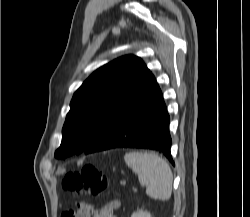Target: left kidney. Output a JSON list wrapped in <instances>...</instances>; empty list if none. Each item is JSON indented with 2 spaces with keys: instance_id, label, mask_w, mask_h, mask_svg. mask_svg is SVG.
<instances>
[{
  "instance_id": "left-kidney-1",
  "label": "left kidney",
  "mask_w": 250,
  "mask_h": 217,
  "mask_svg": "<svg viewBox=\"0 0 250 217\" xmlns=\"http://www.w3.org/2000/svg\"><path fill=\"white\" fill-rule=\"evenodd\" d=\"M131 217H151V215L147 211L139 210L134 212Z\"/></svg>"
}]
</instances>
